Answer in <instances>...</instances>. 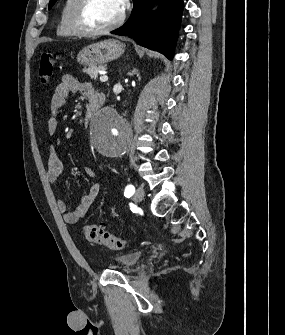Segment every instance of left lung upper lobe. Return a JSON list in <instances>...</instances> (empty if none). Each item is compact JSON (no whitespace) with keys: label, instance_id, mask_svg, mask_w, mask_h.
Returning <instances> with one entry per match:
<instances>
[{"label":"left lung upper lobe","instance_id":"obj_1","mask_svg":"<svg viewBox=\"0 0 285 335\" xmlns=\"http://www.w3.org/2000/svg\"><path fill=\"white\" fill-rule=\"evenodd\" d=\"M57 0H50L49 9L55 4Z\"/></svg>","mask_w":285,"mask_h":335}]
</instances>
